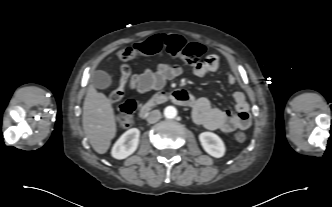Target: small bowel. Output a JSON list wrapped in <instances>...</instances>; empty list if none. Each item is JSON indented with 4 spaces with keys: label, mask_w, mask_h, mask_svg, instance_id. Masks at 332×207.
Here are the masks:
<instances>
[{
    "label": "small bowel",
    "mask_w": 332,
    "mask_h": 207,
    "mask_svg": "<svg viewBox=\"0 0 332 207\" xmlns=\"http://www.w3.org/2000/svg\"><path fill=\"white\" fill-rule=\"evenodd\" d=\"M219 57L217 55H208L203 62L197 63L193 67V73L197 77H205L215 72L219 67ZM183 68L177 64L162 63L155 70L146 68L141 74H135L128 69L122 73L121 84L128 82L131 90L139 93H146L151 90H159L165 84L180 76ZM229 84L236 83V76L229 72L226 75ZM236 113L214 107L205 97L194 98L193 118L199 125L209 130H220L222 132H232L236 129H246L251 124L250 108L245 95L236 91L233 93Z\"/></svg>",
    "instance_id": "obj_1"
}]
</instances>
